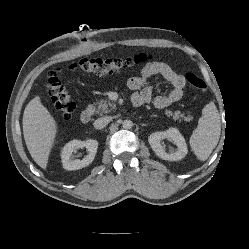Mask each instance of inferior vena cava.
<instances>
[{
  "mask_svg": "<svg viewBox=\"0 0 249 249\" xmlns=\"http://www.w3.org/2000/svg\"><path fill=\"white\" fill-rule=\"evenodd\" d=\"M111 118L110 117H101L98 118L94 121L93 125L96 129H102L108 125L110 122Z\"/></svg>",
  "mask_w": 249,
  "mask_h": 249,
  "instance_id": "inferior-vena-cava-1",
  "label": "inferior vena cava"
}]
</instances>
